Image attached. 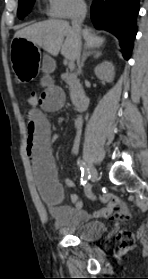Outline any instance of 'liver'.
Returning <instances> with one entry per match:
<instances>
[{
  "label": "liver",
  "mask_w": 148,
  "mask_h": 279,
  "mask_svg": "<svg viewBox=\"0 0 148 279\" xmlns=\"http://www.w3.org/2000/svg\"><path fill=\"white\" fill-rule=\"evenodd\" d=\"M88 48L100 47L104 38L93 35L90 30L81 31ZM16 38H25L33 44L42 47L53 56L61 54L70 61L76 59V36L69 22L63 20H48L32 24L15 33Z\"/></svg>",
  "instance_id": "1"
}]
</instances>
